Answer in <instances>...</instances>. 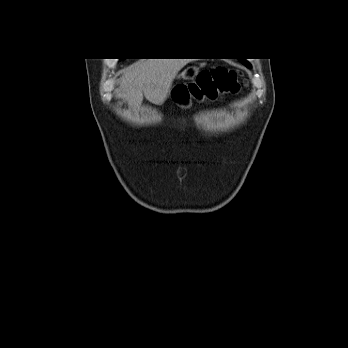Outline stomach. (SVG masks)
<instances>
[{
    "instance_id": "0dacf381",
    "label": "stomach",
    "mask_w": 348,
    "mask_h": 348,
    "mask_svg": "<svg viewBox=\"0 0 348 348\" xmlns=\"http://www.w3.org/2000/svg\"><path fill=\"white\" fill-rule=\"evenodd\" d=\"M196 73H197V71L195 68H187L182 72V74L180 76L183 79H190V78H193Z\"/></svg>"
}]
</instances>
